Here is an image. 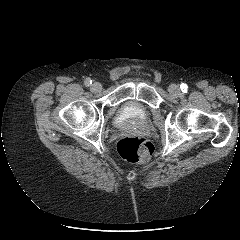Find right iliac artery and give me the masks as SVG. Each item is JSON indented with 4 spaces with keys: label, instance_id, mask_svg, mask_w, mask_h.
<instances>
[{
    "label": "right iliac artery",
    "instance_id": "1",
    "mask_svg": "<svg viewBox=\"0 0 240 240\" xmlns=\"http://www.w3.org/2000/svg\"><path fill=\"white\" fill-rule=\"evenodd\" d=\"M91 83H92V81H91L90 78H87V79L85 80V85H86V86H90Z\"/></svg>",
    "mask_w": 240,
    "mask_h": 240
}]
</instances>
